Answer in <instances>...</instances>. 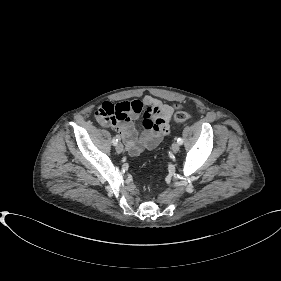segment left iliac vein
Segmentation results:
<instances>
[{"instance_id":"4c4485c4","label":"left iliac vein","mask_w":281,"mask_h":281,"mask_svg":"<svg viewBox=\"0 0 281 281\" xmlns=\"http://www.w3.org/2000/svg\"><path fill=\"white\" fill-rule=\"evenodd\" d=\"M173 153H177L180 149V144L178 142H174L171 147Z\"/></svg>"}]
</instances>
